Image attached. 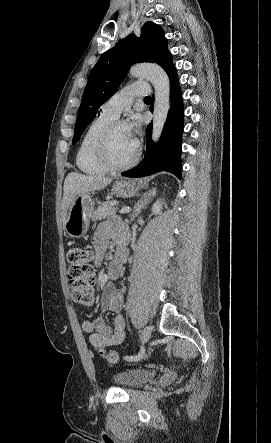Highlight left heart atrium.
I'll list each match as a JSON object with an SVG mask.
<instances>
[{
  "label": "left heart atrium",
  "instance_id": "obj_1",
  "mask_svg": "<svg viewBox=\"0 0 271 443\" xmlns=\"http://www.w3.org/2000/svg\"><path fill=\"white\" fill-rule=\"evenodd\" d=\"M139 127H140V123L138 121H135L133 124L130 125V129L132 131L133 138L137 144L139 141L138 140Z\"/></svg>",
  "mask_w": 271,
  "mask_h": 443
}]
</instances>
